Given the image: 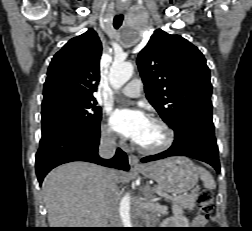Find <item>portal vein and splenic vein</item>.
<instances>
[{
	"mask_svg": "<svg viewBox=\"0 0 252 231\" xmlns=\"http://www.w3.org/2000/svg\"><path fill=\"white\" fill-rule=\"evenodd\" d=\"M163 196L168 198V199H179V198L183 197V195H177V194H172L171 196L164 194Z\"/></svg>",
	"mask_w": 252,
	"mask_h": 231,
	"instance_id": "obj_1",
	"label": "portal vein and splenic vein"
}]
</instances>
